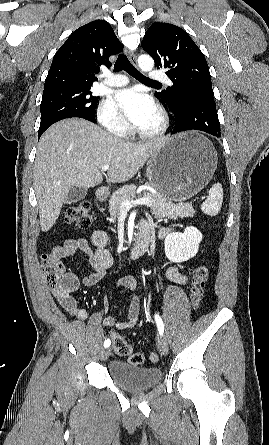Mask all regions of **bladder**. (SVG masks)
<instances>
[{"instance_id": "obj_1", "label": "bladder", "mask_w": 269, "mask_h": 445, "mask_svg": "<svg viewBox=\"0 0 269 445\" xmlns=\"http://www.w3.org/2000/svg\"><path fill=\"white\" fill-rule=\"evenodd\" d=\"M109 374L117 386L129 391L148 390L158 384L162 377L158 367H137L120 360L109 364Z\"/></svg>"}]
</instances>
